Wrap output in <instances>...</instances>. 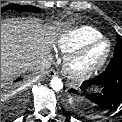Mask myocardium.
Returning a JSON list of instances; mask_svg holds the SVG:
<instances>
[{
    "instance_id": "myocardium-1",
    "label": "myocardium",
    "mask_w": 122,
    "mask_h": 122,
    "mask_svg": "<svg viewBox=\"0 0 122 122\" xmlns=\"http://www.w3.org/2000/svg\"><path fill=\"white\" fill-rule=\"evenodd\" d=\"M104 44L106 49L99 59L85 68H78L77 64L96 46ZM112 46L108 39L99 38L91 41L79 49L69 53L64 60L66 75L74 81H84L98 72L107 62L111 54Z\"/></svg>"
}]
</instances>
